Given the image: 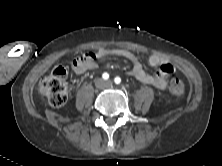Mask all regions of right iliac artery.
I'll use <instances>...</instances> for the list:
<instances>
[{
    "mask_svg": "<svg viewBox=\"0 0 222 166\" xmlns=\"http://www.w3.org/2000/svg\"><path fill=\"white\" fill-rule=\"evenodd\" d=\"M102 78L104 79V80H107V79H109V74L108 73H103V75H102Z\"/></svg>",
    "mask_w": 222,
    "mask_h": 166,
    "instance_id": "1",
    "label": "right iliac artery"
}]
</instances>
